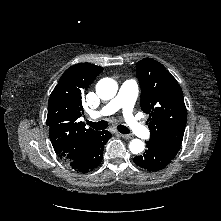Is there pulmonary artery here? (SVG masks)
Instances as JSON below:
<instances>
[{"mask_svg":"<svg viewBox=\"0 0 221 221\" xmlns=\"http://www.w3.org/2000/svg\"><path fill=\"white\" fill-rule=\"evenodd\" d=\"M138 95V85L135 80L125 81L118 94L108 104H106L100 111L93 112L92 118L100 116L111 115L119 109L123 110L124 118L129 128L138 136L146 137L148 130L134 117L132 111L134 103Z\"/></svg>","mask_w":221,"mask_h":221,"instance_id":"obj_1","label":"pulmonary artery"}]
</instances>
